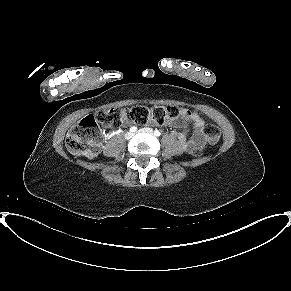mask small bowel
I'll list each match as a JSON object with an SVG mask.
<instances>
[{"mask_svg":"<svg viewBox=\"0 0 291 291\" xmlns=\"http://www.w3.org/2000/svg\"><path fill=\"white\" fill-rule=\"evenodd\" d=\"M186 122H190L193 126V133L189 136L186 132H181L178 135L181 146L188 152H194L201 148L205 142L204 126L205 122L196 112L188 109H180V114L177 118L166 120L164 124L175 127H182ZM130 122L124 120L121 124L128 125Z\"/></svg>","mask_w":291,"mask_h":291,"instance_id":"c3829d8e","label":"small bowel"}]
</instances>
